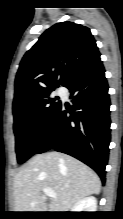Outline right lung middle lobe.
<instances>
[{
	"mask_svg": "<svg viewBox=\"0 0 123 219\" xmlns=\"http://www.w3.org/2000/svg\"><path fill=\"white\" fill-rule=\"evenodd\" d=\"M54 89L46 90L13 104V129L19 164L37 152L47 126L61 105L58 97L51 96Z\"/></svg>",
	"mask_w": 123,
	"mask_h": 219,
	"instance_id": "dd1d6c3e",
	"label": "right lung middle lobe"
}]
</instances>
